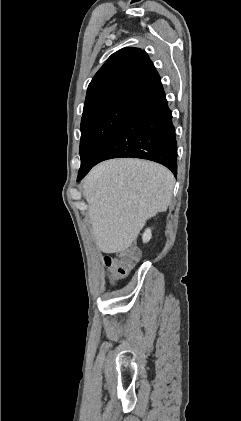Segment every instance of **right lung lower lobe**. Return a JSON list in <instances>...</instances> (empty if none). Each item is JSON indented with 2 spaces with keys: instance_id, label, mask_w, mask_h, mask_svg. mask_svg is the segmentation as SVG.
I'll use <instances>...</instances> for the list:
<instances>
[{
  "instance_id": "98d812e1",
  "label": "right lung lower lobe",
  "mask_w": 241,
  "mask_h": 421,
  "mask_svg": "<svg viewBox=\"0 0 241 421\" xmlns=\"http://www.w3.org/2000/svg\"><path fill=\"white\" fill-rule=\"evenodd\" d=\"M119 157L151 160L166 166L177 175L175 127L160 78L131 101L116 133L95 163L79 170L77 181L97 163Z\"/></svg>"
}]
</instances>
